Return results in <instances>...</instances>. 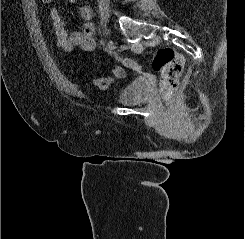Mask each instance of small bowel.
<instances>
[{"mask_svg": "<svg viewBox=\"0 0 245 239\" xmlns=\"http://www.w3.org/2000/svg\"><path fill=\"white\" fill-rule=\"evenodd\" d=\"M76 2L77 0H68ZM81 19L84 21L80 31H69L66 23L57 8L50 10V20L55 32L57 45L65 51L81 50L90 52L95 48V25L92 22L93 9L84 4L79 9Z\"/></svg>", "mask_w": 245, "mask_h": 239, "instance_id": "obj_1", "label": "small bowel"}]
</instances>
